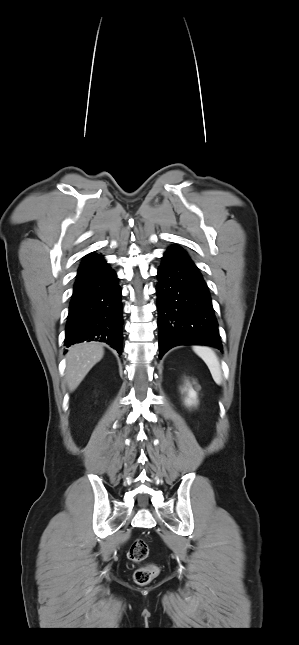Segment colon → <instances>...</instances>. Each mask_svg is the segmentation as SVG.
Returning <instances> with one entry per match:
<instances>
[{
	"label": "colon",
	"mask_w": 299,
	"mask_h": 645,
	"mask_svg": "<svg viewBox=\"0 0 299 645\" xmlns=\"http://www.w3.org/2000/svg\"><path fill=\"white\" fill-rule=\"evenodd\" d=\"M148 553L149 548L147 543L142 538H137L129 548L128 558L135 563H140L147 558ZM158 573L159 568L155 564H147L134 572V581L138 585H147Z\"/></svg>",
	"instance_id": "1"
}]
</instances>
